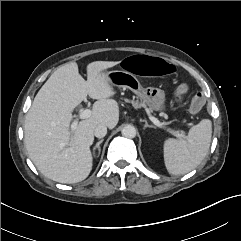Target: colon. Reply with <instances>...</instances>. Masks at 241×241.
<instances>
[{
	"mask_svg": "<svg viewBox=\"0 0 241 241\" xmlns=\"http://www.w3.org/2000/svg\"><path fill=\"white\" fill-rule=\"evenodd\" d=\"M122 67L128 72L140 75L143 77L163 76L173 77L176 74V65L166 58L149 55L142 52L134 56L132 54L125 55L121 60ZM204 104V96L202 93H197L191 102V111L198 113Z\"/></svg>",
	"mask_w": 241,
	"mask_h": 241,
	"instance_id": "1",
	"label": "colon"
}]
</instances>
